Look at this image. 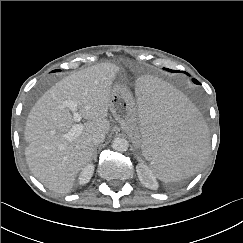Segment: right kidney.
<instances>
[{"instance_id": "ca27d5eb", "label": "right kidney", "mask_w": 243, "mask_h": 243, "mask_svg": "<svg viewBox=\"0 0 243 243\" xmlns=\"http://www.w3.org/2000/svg\"><path fill=\"white\" fill-rule=\"evenodd\" d=\"M94 173V165L88 164L85 168L82 169L79 178L78 183L80 185H84L88 183Z\"/></svg>"}]
</instances>
